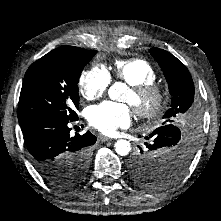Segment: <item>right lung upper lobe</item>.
<instances>
[{
	"label": "right lung upper lobe",
	"mask_w": 221,
	"mask_h": 221,
	"mask_svg": "<svg viewBox=\"0 0 221 221\" xmlns=\"http://www.w3.org/2000/svg\"><path fill=\"white\" fill-rule=\"evenodd\" d=\"M85 50L78 48V47H74V46H62L59 47L55 50H52L51 52H49L47 55H77L80 53H83Z\"/></svg>",
	"instance_id": "1"
}]
</instances>
